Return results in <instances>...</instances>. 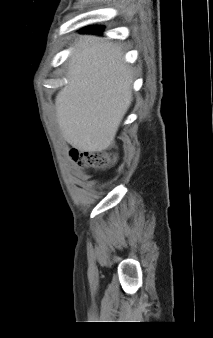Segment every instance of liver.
I'll use <instances>...</instances> for the list:
<instances>
[{
  "instance_id": "liver-1",
  "label": "liver",
  "mask_w": 213,
  "mask_h": 338,
  "mask_svg": "<svg viewBox=\"0 0 213 338\" xmlns=\"http://www.w3.org/2000/svg\"><path fill=\"white\" fill-rule=\"evenodd\" d=\"M69 61V83L55 100L64 139L79 151L101 152L114 143L132 102L131 69L111 42L82 37Z\"/></svg>"
}]
</instances>
